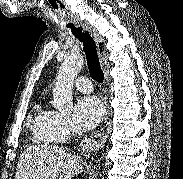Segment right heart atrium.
<instances>
[{"mask_svg": "<svg viewBox=\"0 0 183 179\" xmlns=\"http://www.w3.org/2000/svg\"><path fill=\"white\" fill-rule=\"evenodd\" d=\"M48 128L51 137L58 140L70 134L73 124L68 116L53 111Z\"/></svg>", "mask_w": 183, "mask_h": 179, "instance_id": "right-heart-atrium-1", "label": "right heart atrium"}]
</instances>
